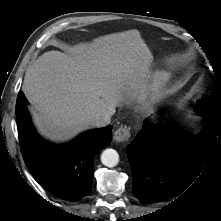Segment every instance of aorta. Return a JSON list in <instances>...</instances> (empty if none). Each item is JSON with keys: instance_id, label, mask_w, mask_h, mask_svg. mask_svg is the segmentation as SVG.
<instances>
[{"instance_id": "1", "label": "aorta", "mask_w": 221, "mask_h": 221, "mask_svg": "<svg viewBox=\"0 0 221 221\" xmlns=\"http://www.w3.org/2000/svg\"><path fill=\"white\" fill-rule=\"evenodd\" d=\"M101 161L103 165L107 167H114L119 162V154L114 149H111V148L106 149L103 151L101 155Z\"/></svg>"}]
</instances>
